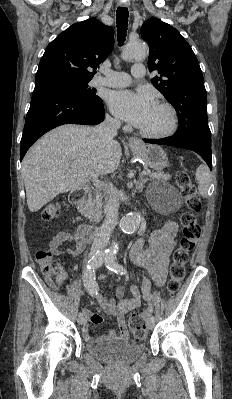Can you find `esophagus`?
<instances>
[{
    "mask_svg": "<svg viewBox=\"0 0 232 399\" xmlns=\"http://www.w3.org/2000/svg\"><path fill=\"white\" fill-rule=\"evenodd\" d=\"M120 5L122 7H127L129 5L128 0H120ZM128 145L130 148H137L141 145V140L138 137H129Z\"/></svg>",
    "mask_w": 232,
    "mask_h": 399,
    "instance_id": "esophagus-1",
    "label": "esophagus"
}]
</instances>
